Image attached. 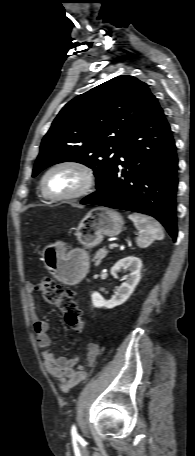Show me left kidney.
<instances>
[{"instance_id": "5707ae66", "label": "left kidney", "mask_w": 195, "mask_h": 456, "mask_svg": "<svg viewBox=\"0 0 195 456\" xmlns=\"http://www.w3.org/2000/svg\"><path fill=\"white\" fill-rule=\"evenodd\" d=\"M142 261L138 257L128 256L120 259L112 268L111 274L113 277H117V274L123 270H129L130 273L127 275L125 282L116 290L112 298L106 301L98 292H93L91 295L92 304L96 308H114L125 303L134 292L137 284L141 279Z\"/></svg>"}]
</instances>
